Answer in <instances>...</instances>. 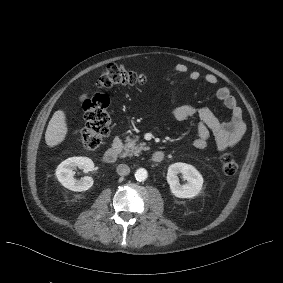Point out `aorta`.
Segmentation results:
<instances>
[{
    "label": "aorta",
    "mask_w": 283,
    "mask_h": 283,
    "mask_svg": "<svg viewBox=\"0 0 283 283\" xmlns=\"http://www.w3.org/2000/svg\"><path fill=\"white\" fill-rule=\"evenodd\" d=\"M148 173L147 170L144 168H139L135 172V179L139 182L145 181L147 179Z\"/></svg>",
    "instance_id": "1"
}]
</instances>
